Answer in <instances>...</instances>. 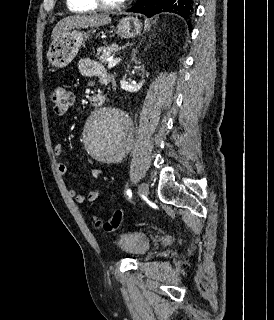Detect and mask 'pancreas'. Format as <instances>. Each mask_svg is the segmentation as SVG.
I'll use <instances>...</instances> for the list:
<instances>
[{"mask_svg":"<svg viewBox=\"0 0 274 320\" xmlns=\"http://www.w3.org/2000/svg\"><path fill=\"white\" fill-rule=\"evenodd\" d=\"M117 48L118 46H116V44H113V46H101V48H97V60H99V62H107L112 52H114V50H117Z\"/></svg>","mask_w":274,"mask_h":320,"instance_id":"pancreas-1","label":"pancreas"}]
</instances>
